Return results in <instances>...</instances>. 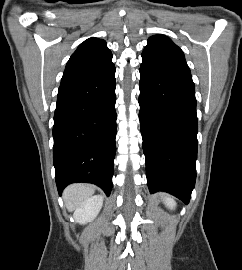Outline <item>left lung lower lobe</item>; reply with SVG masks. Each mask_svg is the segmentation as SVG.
<instances>
[{"label":"left lung lower lobe","mask_w":242,"mask_h":270,"mask_svg":"<svg viewBox=\"0 0 242 270\" xmlns=\"http://www.w3.org/2000/svg\"><path fill=\"white\" fill-rule=\"evenodd\" d=\"M139 88L149 191H165L188 204L196 180L198 131L190 70L143 60Z\"/></svg>","instance_id":"0a47b994"}]
</instances>
